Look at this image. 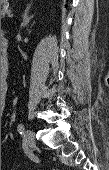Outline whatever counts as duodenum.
I'll use <instances>...</instances> for the list:
<instances>
[{"label": "duodenum", "mask_w": 109, "mask_h": 170, "mask_svg": "<svg viewBox=\"0 0 109 170\" xmlns=\"http://www.w3.org/2000/svg\"><path fill=\"white\" fill-rule=\"evenodd\" d=\"M7 50V39H2L1 41V51L3 53H5ZM3 62L6 63L7 62V55L3 56Z\"/></svg>", "instance_id": "410a0bca"}]
</instances>
